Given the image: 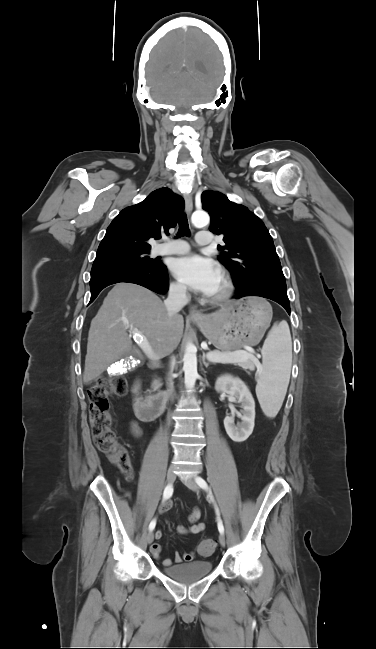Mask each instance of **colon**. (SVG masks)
I'll return each mask as SVG.
<instances>
[{"label": "colon", "mask_w": 376, "mask_h": 649, "mask_svg": "<svg viewBox=\"0 0 376 649\" xmlns=\"http://www.w3.org/2000/svg\"><path fill=\"white\" fill-rule=\"evenodd\" d=\"M127 380L118 375L106 376L99 379L87 390L89 402V422L92 437L96 447L106 454L116 464L122 473L131 478L134 466L127 448L122 444L111 429V416L108 411V397L110 395H125L127 393ZM217 547L215 540L207 539L200 543L198 553L209 555Z\"/></svg>", "instance_id": "obj_1"}]
</instances>
